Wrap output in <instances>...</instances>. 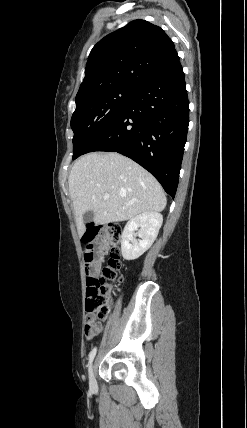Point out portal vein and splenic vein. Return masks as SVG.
<instances>
[{
    "label": "portal vein and splenic vein",
    "instance_id": "obj_1",
    "mask_svg": "<svg viewBox=\"0 0 247 428\" xmlns=\"http://www.w3.org/2000/svg\"><path fill=\"white\" fill-rule=\"evenodd\" d=\"M104 199H109V195L108 194L104 195Z\"/></svg>",
    "mask_w": 247,
    "mask_h": 428
}]
</instances>
